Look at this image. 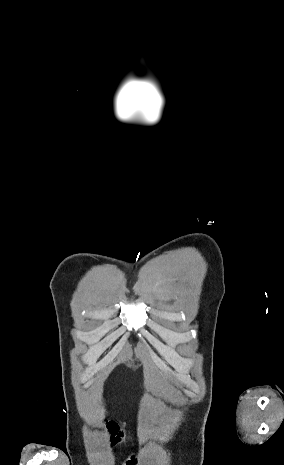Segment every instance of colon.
<instances>
[{"label": "colon", "instance_id": "1", "mask_svg": "<svg viewBox=\"0 0 284 465\" xmlns=\"http://www.w3.org/2000/svg\"><path fill=\"white\" fill-rule=\"evenodd\" d=\"M107 431L112 439H117L124 435V432L115 423H110L107 426Z\"/></svg>", "mask_w": 284, "mask_h": 465}]
</instances>
